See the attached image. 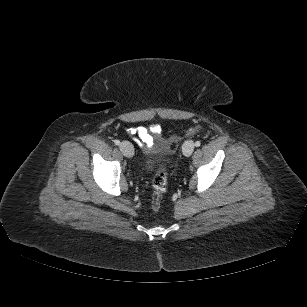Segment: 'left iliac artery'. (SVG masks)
Wrapping results in <instances>:
<instances>
[{
	"mask_svg": "<svg viewBox=\"0 0 307 307\" xmlns=\"http://www.w3.org/2000/svg\"><path fill=\"white\" fill-rule=\"evenodd\" d=\"M200 145H201L200 141H196V142H195V146H196V147H199Z\"/></svg>",
	"mask_w": 307,
	"mask_h": 307,
	"instance_id": "44dca946",
	"label": "left iliac artery"
}]
</instances>
